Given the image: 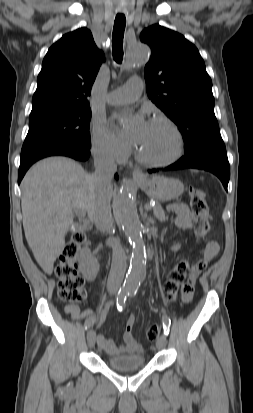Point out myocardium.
Here are the masks:
<instances>
[{
    "label": "myocardium",
    "instance_id": "1",
    "mask_svg": "<svg viewBox=\"0 0 253 413\" xmlns=\"http://www.w3.org/2000/svg\"><path fill=\"white\" fill-rule=\"evenodd\" d=\"M151 122H160L164 123L165 125L168 126V128L171 130L174 138H175V151L174 153L163 160H156L147 157L144 155L139 149L136 150V157L138 158L139 161L142 163L153 166V167H165L169 166L173 163H175L179 158L182 156L183 151H184V139L182 136V133L180 132L178 126L167 116L164 115H157L151 119Z\"/></svg>",
    "mask_w": 253,
    "mask_h": 413
}]
</instances>
